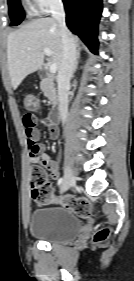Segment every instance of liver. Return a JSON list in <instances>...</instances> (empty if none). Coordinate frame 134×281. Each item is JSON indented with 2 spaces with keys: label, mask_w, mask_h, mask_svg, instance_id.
I'll return each mask as SVG.
<instances>
[{
  "label": "liver",
  "mask_w": 134,
  "mask_h": 281,
  "mask_svg": "<svg viewBox=\"0 0 134 281\" xmlns=\"http://www.w3.org/2000/svg\"><path fill=\"white\" fill-rule=\"evenodd\" d=\"M71 37L75 47L79 48L78 38L72 34ZM44 48L52 51L51 61L59 68L62 61L63 44L60 27L54 18L32 20L9 34L7 63L14 90L29 74L42 68L45 57Z\"/></svg>",
  "instance_id": "1"
}]
</instances>
